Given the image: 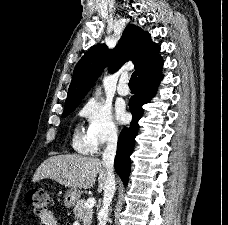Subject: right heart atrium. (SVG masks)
Returning a JSON list of instances; mask_svg holds the SVG:
<instances>
[{
  "instance_id": "right-heart-atrium-1",
  "label": "right heart atrium",
  "mask_w": 228,
  "mask_h": 225,
  "mask_svg": "<svg viewBox=\"0 0 228 225\" xmlns=\"http://www.w3.org/2000/svg\"><path fill=\"white\" fill-rule=\"evenodd\" d=\"M79 116L85 123L84 135L92 142L95 150L118 139V130L111 112L94 100L84 103Z\"/></svg>"
}]
</instances>
